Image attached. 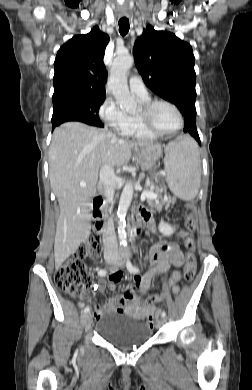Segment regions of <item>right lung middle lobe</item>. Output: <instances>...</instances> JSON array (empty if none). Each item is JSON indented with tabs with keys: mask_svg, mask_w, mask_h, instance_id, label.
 <instances>
[{
	"mask_svg": "<svg viewBox=\"0 0 252 390\" xmlns=\"http://www.w3.org/2000/svg\"><path fill=\"white\" fill-rule=\"evenodd\" d=\"M105 98L69 97L53 101L52 124L64 121H80L103 127L98 112Z\"/></svg>",
	"mask_w": 252,
	"mask_h": 390,
	"instance_id": "obj_1",
	"label": "right lung middle lobe"
}]
</instances>
